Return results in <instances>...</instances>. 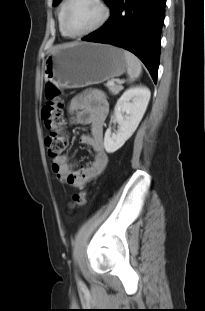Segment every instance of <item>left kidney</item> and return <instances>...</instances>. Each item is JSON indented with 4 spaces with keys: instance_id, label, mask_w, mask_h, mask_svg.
Returning <instances> with one entry per match:
<instances>
[{
    "instance_id": "1",
    "label": "left kidney",
    "mask_w": 205,
    "mask_h": 311,
    "mask_svg": "<svg viewBox=\"0 0 205 311\" xmlns=\"http://www.w3.org/2000/svg\"><path fill=\"white\" fill-rule=\"evenodd\" d=\"M147 87L127 89L116 103L114 121L118 123V131L112 133L107 129L104 137V148L107 153H114L133 135L137 129L150 100Z\"/></svg>"
}]
</instances>
